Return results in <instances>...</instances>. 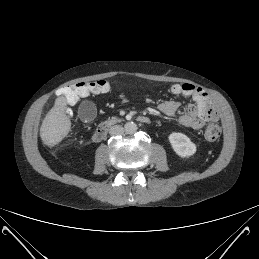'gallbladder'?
I'll use <instances>...</instances> for the list:
<instances>
[{
  "label": "gallbladder",
  "instance_id": "bac80fb5",
  "mask_svg": "<svg viewBox=\"0 0 259 259\" xmlns=\"http://www.w3.org/2000/svg\"><path fill=\"white\" fill-rule=\"evenodd\" d=\"M79 115L85 121H92L95 118V106L90 101H85L81 104Z\"/></svg>",
  "mask_w": 259,
  "mask_h": 259
}]
</instances>
